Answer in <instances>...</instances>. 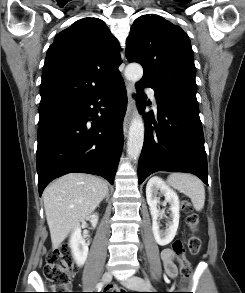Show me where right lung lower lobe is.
<instances>
[{"mask_svg": "<svg viewBox=\"0 0 245 293\" xmlns=\"http://www.w3.org/2000/svg\"><path fill=\"white\" fill-rule=\"evenodd\" d=\"M97 106L105 108L96 109ZM126 107V88L119 76L87 99L70 104L39 123L37 172L40 196L53 179L71 172L102 176L110 184L114 183L123 146L122 121Z\"/></svg>", "mask_w": 245, "mask_h": 293, "instance_id": "98d812e1", "label": "right lung lower lobe"}]
</instances>
